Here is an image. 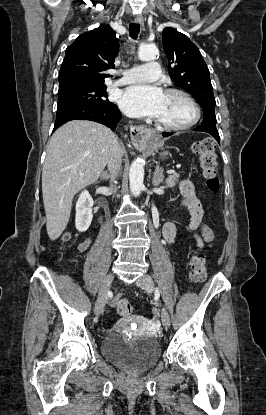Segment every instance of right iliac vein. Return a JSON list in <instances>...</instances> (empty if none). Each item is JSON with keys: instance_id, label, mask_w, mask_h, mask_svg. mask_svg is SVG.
<instances>
[{"instance_id": "1", "label": "right iliac vein", "mask_w": 266, "mask_h": 415, "mask_svg": "<svg viewBox=\"0 0 266 415\" xmlns=\"http://www.w3.org/2000/svg\"><path fill=\"white\" fill-rule=\"evenodd\" d=\"M113 279L114 276L112 274L108 275L100 286L98 298L95 304V314L97 316H99L103 312L104 306L107 301L109 286L113 282Z\"/></svg>"}]
</instances>
